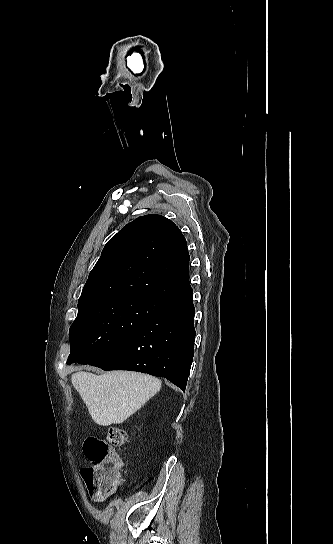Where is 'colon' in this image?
<instances>
[{
  "instance_id": "colon-1",
  "label": "colon",
  "mask_w": 333,
  "mask_h": 544,
  "mask_svg": "<svg viewBox=\"0 0 333 544\" xmlns=\"http://www.w3.org/2000/svg\"><path fill=\"white\" fill-rule=\"evenodd\" d=\"M125 442L126 432L115 426L108 428L106 439L90 436L85 440L83 451L91 466L83 468L81 476L89 491L110 490L120 484L123 460L117 448Z\"/></svg>"
}]
</instances>
